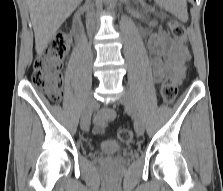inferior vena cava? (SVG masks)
Masks as SVG:
<instances>
[{
	"label": "inferior vena cava",
	"instance_id": "inferior-vena-cava-1",
	"mask_svg": "<svg viewBox=\"0 0 223 191\" xmlns=\"http://www.w3.org/2000/svg\"><path fill=\"white\" fill-rule=\"evenodd\" d=\"M86 6H87V8L91 7L90 0H87ZM86 24H87V28L89 30H92V29H94L96 27V19L94 17L93 12H91V11L88 12V14H87Z\"/></svg>",
	"mask_w": 223,
	"mask_h": 191
}]
</instances>
